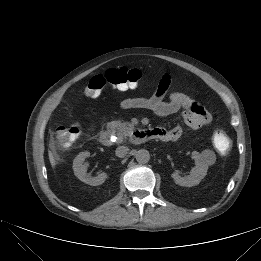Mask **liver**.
Masks as SVG:
<instances>
[{
    "instance_id": "obj_1",
    "label": "liver",
    "mask_w": 261,
    "mask_h": 261,
    "mask_svg": "<svg viewBox=\"0 0 261 261\" xmlns=\"http://www.w3.org/2000/svg\"><path fill=\"white\" fill-rule=\"evenodd\" d=\"M49 160H50L52 167L54 168L55 165H56V161H55L54 156L51 152H49Z\"/></svg>"
}]
</instances>
